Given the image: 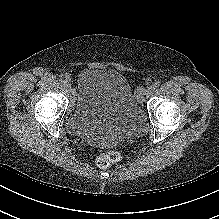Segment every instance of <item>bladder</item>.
Returning <instances> with one entry per match:
<instances>
[{"mask_svg": "<svg viewBox=\"0 0 219 219\" xmlns=\"http://www.w3.org/2000/svg\"><path fill=\"white\" fill-rule=\"evenodd\" d=\"M76 93L74 107L65 119L71 134L98 135L102 143L114 144L146 130L143 109L119 72L85 69L78 77Z\"/></svg>", "mask_w": 219, "mask_h": 219, "instance_id": "obj_1", "label": "bladder"}]
</instances>
